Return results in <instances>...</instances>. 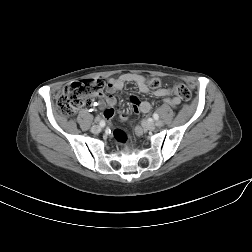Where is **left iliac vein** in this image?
Masks as SVG:
<instances>
[{
  "mask_svg": "<svg viewBox=\"0 0 252 252\" xmlns=\"http://www.w3.org/2000/svg\"><path fill=\"white\" fill-rule=\"evenodd\" d=\"M163 125V122L162 121H157L156 123L154 122H145L144 126L147 130H150V131H153L156 126H162Z\"/></svg>",
  "mask_w": 252,
  "mask_h": 252,
  "instance_id": "obj_1",
  "label": "left iliac vein"
}]
</instances>
